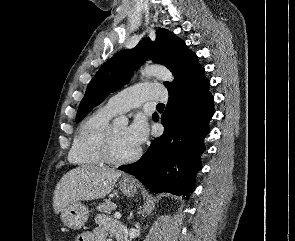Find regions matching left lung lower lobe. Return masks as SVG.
Instances as JSON below:
<instances>
[{"label":"left lung lower lobe","instance_id":"obj_1","mask_svg":"<svg viewBox=\"0 0 295 241\" xmlns=\"http://www.w3.org/2000/svg\"><path fill=\"white\" fill-rule=\"evenodd\" d=\"M205 71L181 90L169 92L161 116L164 133L151 142L137 162L119 169L134 175L153 192H170L188 197L194 191L196 173L201 170L200 155L214 114V98ZM158 121L159 117H153Z\"/></svg>","mask_w":295,"mask_h":241}]
</instances>
